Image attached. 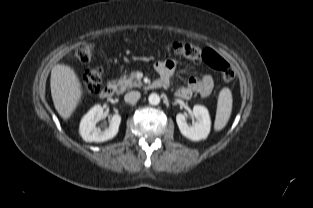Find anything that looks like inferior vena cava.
Instances as JSON below:
<instances>
[{
	"mask_svg": "<svg viewBox=\"0 0 313 208\" xmlns=\"http://www.w3.org/2000/svg\"><path fill=\"white\" fill-rule=\"evenodd\" d=\"M140 96H141L140 92L131 91V92H128L127 94H125L124 100L127 103L134 104L140 99Z\"/></svg>",
	"mask_w": 313,
	"mask_h": 208,
	"instance_id": "1",
	"label": "inferior vena cava"
}]
</instances>
